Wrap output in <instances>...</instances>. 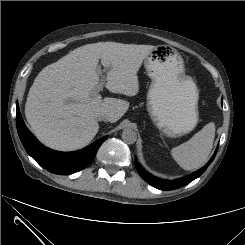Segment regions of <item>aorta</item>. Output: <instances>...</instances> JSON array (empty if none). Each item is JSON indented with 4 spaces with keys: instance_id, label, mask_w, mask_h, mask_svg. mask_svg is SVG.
Returning <instances> with one entry per match:
<instances>
[{
    "instance_id": "762f6f07",
    "label": "aorta",
    "mask_w": 245,
    "mask_h": 245,
    "mask_svg": "<svg viewBox=\"0 0 245 245\" xmlns=\"http://www.w3.org/2000/svg\"><path fill=\"white\" fill-rule=\"evenodd\" d=\"M122 140L126 144H134L137 140V134L133 129L125 128L122 132Z\"/></svg>"
}]
</instances>
